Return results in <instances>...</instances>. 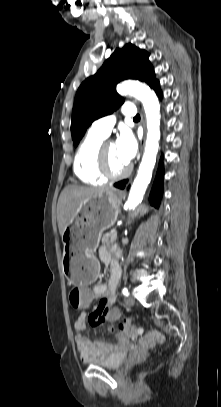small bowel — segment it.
<instances>
[{"label":"small bowel","instance_id":"obj_1","mask_svg":"<svg viewBox=\"0 0 221 407\" xmlns=\"http://www.w3.org/2000/svg\"><path fill=\"white\" fill-rule=\"evenodd\" d=\"M99 259L102 263L110 266V277L107 282H100L92 286V293L94 299H100L99 304L88 316V321L91 325L97 326L104 322L109 321L105 316V311L109 305H114L116 299V291L120 280V267L118 262L113 258L112 251L106 247H102L99 250ZM86 314L82 313L74 322V329L76 334L74 336V342L77 351L83 361H90L94 359L105 358L114 351L116 347L110 343H98L93 341L82 334L86 329ZM113 332L114 329L110 328ZM119 338H124L121 330L117 334Z\"/></svg>","mask_w":221,"mask_h":407}]
</instances>
